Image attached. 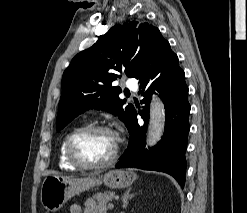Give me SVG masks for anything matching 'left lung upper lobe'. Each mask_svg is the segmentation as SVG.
Here are the masks:
<instances>
[{
	"label": "left lung upper lobe",
	"mask_w": 247,
	"mask_h": 213,
	"mask_svg": "<svg viewBox=\"0 0 247 213\" xmlns=\"http://www.w3.org/2000/svg\"><path fill=\"white\" fill-rule=\"evenodd\" d=\"M172 50L160 31L139 21L113 26L89 49L78 53L62 77V95L56 129L60 131L79 114L101 109L119 116L126 126L135 112L118 95L112 82L125 67V74L142 80L152 66L167 59Z\"/></svg>",
	"instance_id": "obj_1"
}]
</instances>
